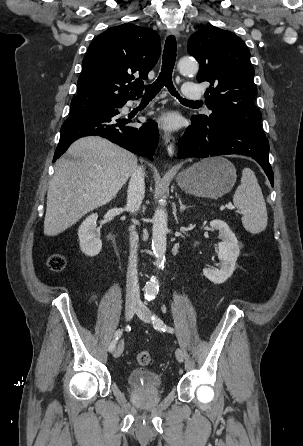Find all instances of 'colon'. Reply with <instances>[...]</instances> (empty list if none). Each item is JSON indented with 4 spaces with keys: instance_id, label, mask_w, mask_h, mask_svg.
<instances>
[{
    "instance_id": "obj_1",
    "label": "colon",
    "mask_w": 303,
    "mask_h": 446,
    "mask_svg": "<svg viewBox=\"0 0 303 446\" xmlns=\"http://www.w3.org/2000/svg\"><path fill=\"white\" fill-rule=\"evenodd\" d=\"M66 266V258L61 254H53L48 259V267L54 272L62 271ZM140 365L146 366L151 363L152 356L149 351H141L137 356Z\"/></svg>"
}]
</instances>
